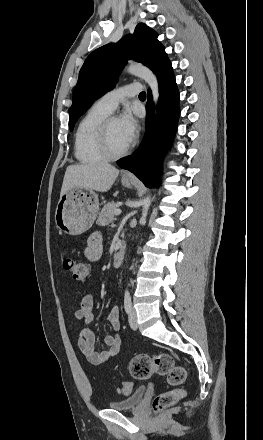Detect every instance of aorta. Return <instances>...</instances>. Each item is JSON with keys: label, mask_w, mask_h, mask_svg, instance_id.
Segmentation results:
<instances>
[{"label": "aorta", "mask_w": 263, "mask_h": 440, "mask_svg": "<svg viewBox=\"0 0 263 440\" xmlns=\"http://www.w3.org/2000/svg\"><path fill=\"white\" fill-rule=\"evenodd\" d=\"M128 73L135 75L141 79H143L151 88L153 101L155 105L157 104L158 98H159V86H158V80L155 74L148 69L147 67L140 65V64H131L127 68ZM151 204V197L148 196L143 201V209H142V216L140 218L139 223L143 224L146 222V216L148 213V209Z\"/></svg>", "instance_id": "1"}]
</instances>
